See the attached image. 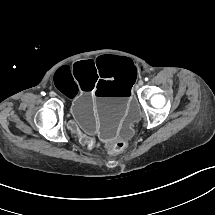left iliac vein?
I'll list each match as a JSON object with an SVG mask.
<instances>
[{"mask_svg":"<svg viewBox=\"0 0 215 215\" xmlns=\"http://www.w3.org/2000/svg\"><path fill=\"white\" fill-rule=\"evenodd\" d=\"M138 85H139V86H142V85H143V81L140 80V81L138 82Z\"/></svg>","mask_w":215,"mask_h":215,"instance_id":"1","label":"left iliac vein"}]
</instances>
